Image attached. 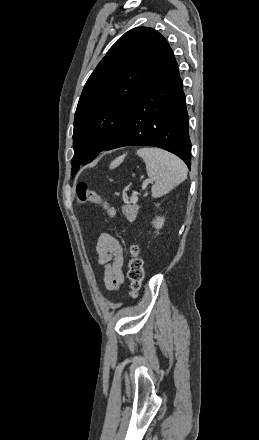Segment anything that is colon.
Listing matches in <instances>:
<instances>
[{
	"label": "colon",
	"instance_id": "colon-1",
	"mask_svg": "<svg viewBox=\"0 0 259 440\" xmlns=\"http://www.w3.org/2000/svg\"><path fill=\"white\" fill-rule=\"evenodd\" d=\"M76 194L80 203H93L101 206L110 217H114V208L95 190L90 189L85 183H78ZM128 279L130 281L131 296L136 297L144 280L143 260L139 256V248L131 245L129 249Z\"/></svg>",
	"mask_w": 259,
	"mask_h": 440
}]
</instances>
